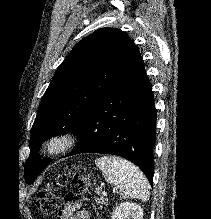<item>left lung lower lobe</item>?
<instances>
[{"label":"left lung lower lobe","mask_w":211,"mask_h":219,"mask_svg":"<svg viewBox=\"0 0 211 219\" xmlns=\"http://www.w3.org/2000/svg\"><path fill=\"white\" fill-rule=\"evenodd\" d=\"M156 119L152 88L139 55L84 117L74 133L78 142L66 157L117 155L139 166L152 185ZM33 157L44 168L50 162L38 160L37 153Z\"/></svg>","instance_id":"0a47b994"}]
</instances>
